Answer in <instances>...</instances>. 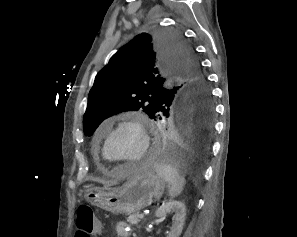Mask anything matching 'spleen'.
<instances>
[{"label":"spleen","mask_w":297,"mask_h":237,"mask_svg":"<svg viewBox=\"0 0 297 237\" xmlns=\"http://www.w3.org/2000/svg\"><path fill=\"white\" fill-rule=\"evenodd\" d=\"M154 169L157 176L169 184V195L171 198L181 194L185 186V178L176 167L166 162H158L154 164Z\"/></svg>","instance_id":"obj_1"}]
</instances>
